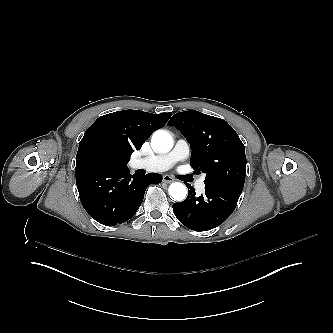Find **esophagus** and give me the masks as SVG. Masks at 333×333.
<instances>
[{"mask_svg": "<svg viewBox=\"0 0 333 333\" xmlns=\"http://www.w3.org/2000/svg\"><path fill=\"white\" fill-rule=\"evenodd\" d=\"M163 181L166 182V183H171V182H174L175 179L173 177H171L170 175H164L163 176Z\"/></svg>", "mask_w": 333, "mask_h": 333, "instance_id": "1", "label": "esophagus"}]
</instances>
